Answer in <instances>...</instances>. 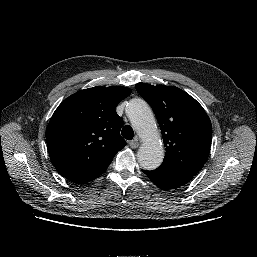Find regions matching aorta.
I'll list each match as a JSON object with an SVG mask.
<instances>
[{"instance_id": "762f6f07", "label": "aorta", "mask_w": 257, "mask_h": 257, "mask_svg": "<svg viewBox=\"0 0 257 257\" xmlns=\"http://www.w3.org/2000/svg\"><path fill=\"white\" fill-rule=\"evenodd\" d=\"M126 114L143 139L137 153L140 166L146 170L156 169L163 161L164 149L150 107L144 100L132 99L126 107Z\"/></svg>"}]
</instances>
